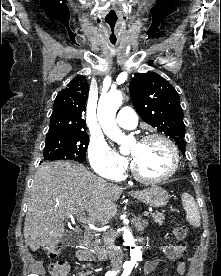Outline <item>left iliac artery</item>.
Wrapping results in <instances>:
<instances>
[{
    "label": "left iliac artery",
    "instance_id": "obj_1",
    "mask_svg": "<svg viewBox=\"0 0 221 276\" xmlns=\"http://www.w3.org/2000/svg\"><path fill=\"white\" fill-rule=\"evenodd\" d=\"M130 272H131V269L126 268L125 271L122 273V276H129Z\"/></svg>",
    "mask_w": 221,
    "mask_h": 276
}]
</instances>
